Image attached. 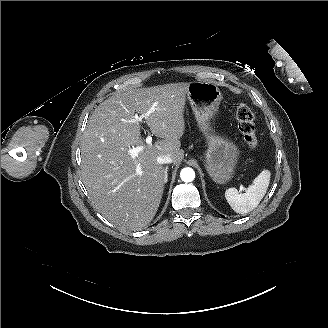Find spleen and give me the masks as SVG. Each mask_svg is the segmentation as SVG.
Here are the masks:
<instances>
[{"label":"spleen","instance_id":"spleen-1","mask_svg":"<svg viewBox=\"0 0 328 328\" xmlns=\"http://www.w3.org/2000/svg\"><path fill=\"white\" fill-rule=\"evenodd\" d=\"M269 181L270 172L264 169L252 181L244 194H240L235 188H229L225 192V199L236 213H248L258 206L266 194Z\"/></svg>","mask_w":328,"mask_h":328}]
</instances>
